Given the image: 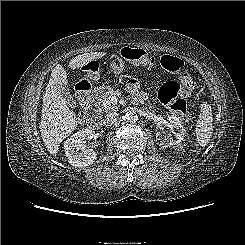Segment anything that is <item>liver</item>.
Wrapping results in <instances>:
<instances>
[{
    "mask_svg": "<svg viewBox=\"0 0 245 245\" xmlns=\"http://www.w3.org/2000/svg\"><path fill=\"white\" fill-rule=\"evenodd\" d=\"M105 55V52L84 53L74 57L69 62V67L77 69ZM67 75V71L62 65L57 64L52 70L43 96L40 132L45 147L54 156L58 153L61 142L78 125L76 114L69 108L63 95L60 93V88L67 84Z\"/></svg>",
    "mask_w": 245,
    "mask_h": 245,
    "instance_id": "6515ba94",
    "label": "liver"
}]
</instances>
